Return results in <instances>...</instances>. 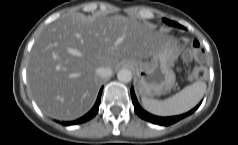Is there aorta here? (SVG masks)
<instances>
[{"instance_id":"1","label":"aorta","mask_w":238,"mask_h":145,"mask_svg":"<svg viewBox=\"0 0 238 145\" xmlns=\"http://www.w3.org/2000/svg\"><path fill=\"white\" fill-rule=\"evenodd\" d=\"M117 78L121 82H130L132 80V72L129 69H121L117 73Z\"/></svg>"}]
</instances>
